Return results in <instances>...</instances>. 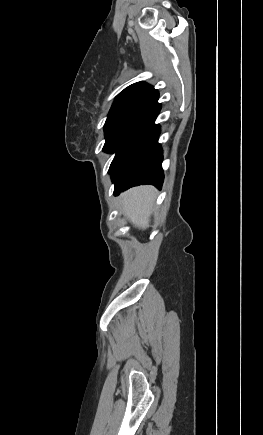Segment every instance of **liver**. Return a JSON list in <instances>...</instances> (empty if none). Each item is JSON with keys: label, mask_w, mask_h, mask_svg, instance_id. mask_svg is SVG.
<instances>
[{"label": "liver", "mask_w": 263, "mask_h": 435, "mask_svg": "<svg viewBox=\"0 0 263 435\" xmlns=\"http://www.w3.org/2000/svg\"><path fill=\"white\" fill-rule=\"evenodd\" d=\"M154 199L155 189L152 186L132 188L121 195L122 210L134 225L145 229L148 226Z\"/></svg>", "instance_id": "6515ba94"}]
</instances>
